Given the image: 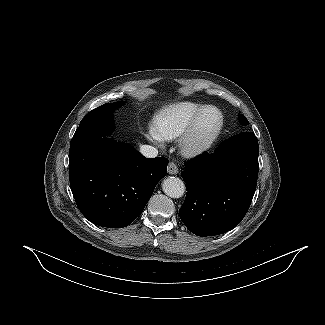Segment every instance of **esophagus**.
Segmentation results:
<instances>
[{
	"mask_svg": "<svg viewBox=\"0 0 325 325\" xmlns=\"http://www.w3.org/2000/svg\"><path fill=\"white\" fill-rule=\"evenodd\" d=\"M167 171L169 174L176 175L178 173V167L174 162H170Z\"/></svg>",
	"mask_w": 325,
	"mask_h": 325,
	"instance_id": "34e87169",
	"label": "esophagus"
}]
</instances>
